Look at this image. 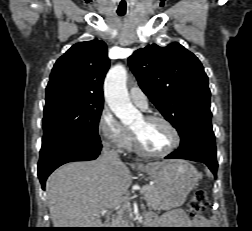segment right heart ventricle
<instances>
[{"instance_id": "e07e8e85", "label": "right heart ventricle", "mask_w": 252, "mask_h": 231, "mask_svg": "<svg viewBox=\"0 0 252 231\" xmlns=\"http://www.w3.org/2000/svg\"><path fill=\"white\" fill-rule=\"evenodd\" d=\"M127 147L131 148L132 147L131 143H129Z\"/></svg>"}]
</instances>
